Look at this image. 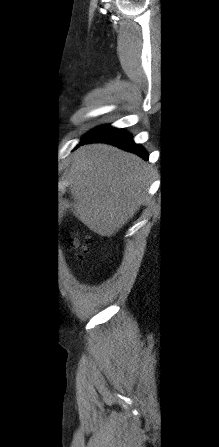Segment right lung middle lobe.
Listing matches in <instances>:
<instances>
[{
	"mask_svg": "<svg viewBox=\"0 0 219 447\" xmlns=\"http://www.w3.org/2000/svg\"><path fill=\"white\" fill-rule=\"evenodd\" d=\"M104 128H106V126H100L98 128H95L94 130H92L86 137H90L96 133H98L99 131L103 130Z\"/></svg>",
	"mask_w": 219,
	"mask_h": 447,
	"instance_id": "dd1d6c3e",
	"label": "right lung middle lobe"
}]
</instances>
